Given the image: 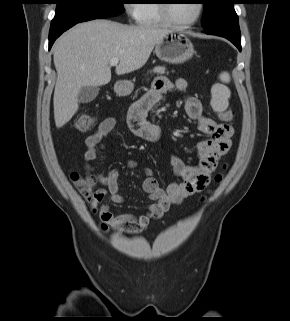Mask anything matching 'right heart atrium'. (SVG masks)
<instances>
[{"mask_svg":"<svg viewBox=\"0 0 290 321\" xmlns=\"http://www.w3.org/2000/svg\"><path fill=\"white\" fill-rule=\"evenodd\" d=\"M125 11L128 14L129 17L136 19V8L135 5H132L130 3H127L125 5Z\"/></svg>","mask_w":290,"mask_h":321,"instance_id":"1","label":"right heart atrium"}]
</instances>
